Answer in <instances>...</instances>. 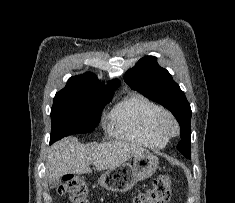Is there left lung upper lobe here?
<instances>
[{
	"mask_svg": "<svg viewBox=\"0 0 235 203\" xmlns=\"http://www.w3.org/2000/svg\"><path fill=\"white\" fill-rule=\"evenodd\" d=\"M124 80L133 89L173 113L180 124L182 138L177 149L190 159L192 112L184 92L173 81L171 74L157 64L156 57L145 56L126 72Z\"/></svg>",
	"mask_w": 235,
	"mask_h": 203,
	"instance_id": "1",
	"label": "left lung upper lobe"
}]
</instances>
